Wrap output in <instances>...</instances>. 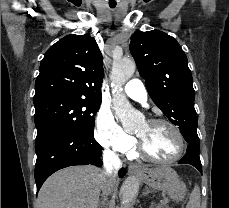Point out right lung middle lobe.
I'll use <instances>...</instances> for the list:
<instances>
[{
	"mask_svg": "<svg viewBox=\"0 0 229 208\" xmlns=\"http://www.w3.org/2000/svg\"><path fill=\"white\" fill-rule=\"evenodd\" d=\"M101 101L75 96L52 95L34 101V121L37 128L35 143L61 129L94 132V116Z\"/></svg>",
	"mask_w": 229,
	"mask_h": 208,
	"instance_id": "dd1d6c3e",
	"label": "right lung middle lobe"
}]
</instances>
